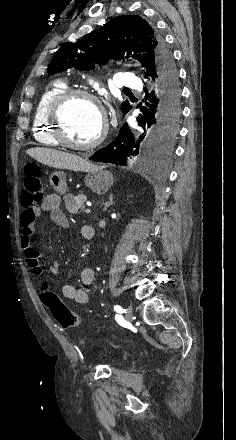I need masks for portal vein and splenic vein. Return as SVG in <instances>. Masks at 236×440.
Returning <instances> with one entry per match:
<instances>
[{"label": "portal vein and splenic vein", "instance_id": "18ae733b", "mask_svg": "<svg viewBox=\"0 0 236 440\" xmlns=\"http://www.w3.org/2000/svg\"><path fill=\"white\" fill-rule=\"evenodd\" d=\"M85 212H86V213H90V212H91L90 208H89V207L86 208Z\"/></svg>", "mask_w": 236, "mask_h": 440}]
</instances>
